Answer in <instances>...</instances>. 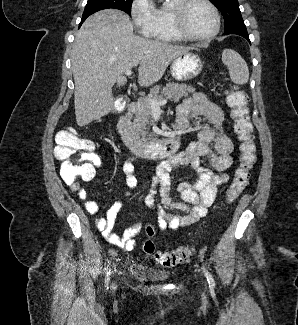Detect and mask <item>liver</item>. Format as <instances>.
<instances>
[{
  "label": "liver",
  "instance_id": "6515ba94",
  "mask_svg": "<svg viewBox=\"0 0 298 325\" xmlns=\"http://www.w3.org/2000/svg\"><path fill=\"white\" fill-rule=\"evenodd\" d=\"M193 50L137 36L130 16L105 8L86 18L72 48L74 104L78 126H85L113 110L112 86H124L125 70L140 64L138 84L152 86L162 78L170 62Z\"/></svg>",
  "mask_w": 298,
  "mask_h": 325
}]
</instances>
